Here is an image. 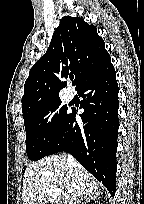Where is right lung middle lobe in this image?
I'll use <instances>...</instances> for the list:
<instances>
[{
    "label": "right lung middle lobe",
    "instance_id": "dd1d6c3e",
    "mask_svg": "<svg viewBox=\"0 0 144 204\" xmlns=\"http://www.w3.org/2000/svg\"><path fill=\"white\" fill-rule=\"evenodd\" d=\"M67 107L56 98L24 117L26 152L30 160L37 161L46 155L58 139L68 117Z\"/></svg>",
    "mask_w": 144,
    "mask_h": 204
}]
</instances>
